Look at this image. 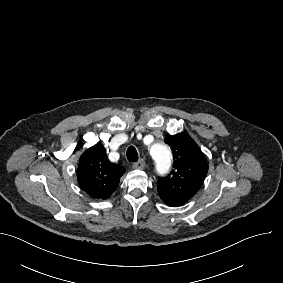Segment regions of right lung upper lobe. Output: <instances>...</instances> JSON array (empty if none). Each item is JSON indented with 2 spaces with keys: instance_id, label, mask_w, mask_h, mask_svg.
<instances>
[{
  "instance_id": "1",
  "label": "right lung upper lobe",
  "mask_w": 283,
  "mask_h": 283,
  "mask_svg": "<svg viewBox=\"0 0 283 283\" xmlns=\"http://www.w3.org/2000/svg\"><path fill=\"white\" fill-rule=\"evenodd\" d=\"M124 172L121 165L108 160L105 148L98 142L82 154L77 178L80 187L91 197L106 199L116 190Z\"/></svg>"
}]
</instances>
